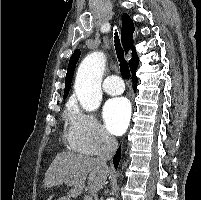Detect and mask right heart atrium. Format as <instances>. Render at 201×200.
<instances>
[{
    "label": "right heart atrium",
    "mask_w": 201,
    "mask_h": 200,
    "mask_svg": "<svg viewBox=\"0 0 201 200\" xmlns=\"http://www.w3.org/2000/svg\"><path fill=\"white\" fill-rule=\"evenodd\" d=\"M68 117L70 126L67 138L72 149L87 155H97L115 148V139L92 113L71 107Z\"/></svg>",
    "instance_id": "d8ad5b80"
}]
</instances>
